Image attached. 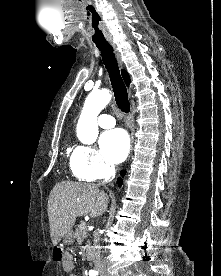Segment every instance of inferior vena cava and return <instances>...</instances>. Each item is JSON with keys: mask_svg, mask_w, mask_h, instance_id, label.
Here are the masks:
<instances>
[{"mask_svg": "<svg viewBox=\"0 0 221 276\" xmlns=\"http://www.w3.org/2000/svg\"><path fill=\"white\" fill-rule=\"evenodd\" d=\"M115 167L113 165H108L106 168V177L114 178L115 177ZM100 235H96L94 238V245L90 253V260L93 262L96 268H99L102 265L100 258Z\"/></svg>", "mask_w": 221, "mask_h": 276, "instance_id": "inferior-vena-cava-1", "label": "inferior vena cava"}]
</instances>
